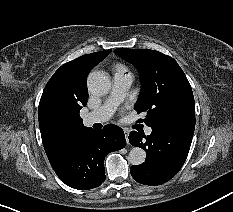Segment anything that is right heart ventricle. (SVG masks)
<instances>
[{
	"instance_id": "right-heart-ventricle-1",
	"label": "right heart ventricle",
	"mask_w": 233,
	"mask_h": 212,
	"mask_svg": "<svg viewBox=\"0 0 233 212\" xmlns=\"http://www.w3.org/2000/svg\"><path fill=\"white\" fill-rule=\"evenodd\" d=\"M117 71H125V68L122 65H117Z\"/></svg>"
}]
</instances>
